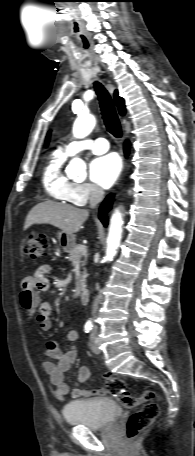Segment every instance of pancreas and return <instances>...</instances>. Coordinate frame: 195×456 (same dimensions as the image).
Listing matches in <instances>:
<instances>
[{
	"instance_id": "cf45deb5",
	"label": "pancreas",
	"mask_w": 195,
	"mask_h": 456,
	"mask_svg": "<svg viewBox=\"0 0 195 456\" xmlns=\"http://www.w3.org/2000/svg\"><path fill=\"white\" fill-rule=\"evenodd\" d=\"M81 245H76L72 249H70L69 252V260L70 261H75V260H80L83 256L86 258V252H81L79 250V247ZM81 265L84 266L86 264V259L83 261H80ZM87 274L84 271L78 278H77V285L80 286L81 288L85 287V280H86Z\"/></svg>"
}]
</instances>
